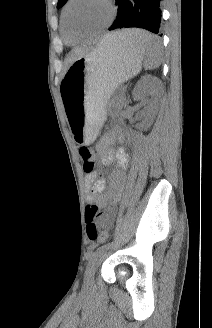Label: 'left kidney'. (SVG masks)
<instances>
[{"mask_svg":"<svg viewBox=\"0 0 212 328\" xmlns=\"http://www.w3.org/2000/svg\"><path fill=\"white\" fill-rule=\"evenodd\" d=\"M160 90V81L158 78L145 75L138 81L133 94L136 100L143 98L145 94L150 95L151 99L147 101L148 105L146 110V119L140 124L142 129L148 128L157 113L158 109V95Z\"/></svg>","mask_w":212,"mask_h":328,"instance_id":"left-kidney-1","label":"left kidney"}]
</instances>
